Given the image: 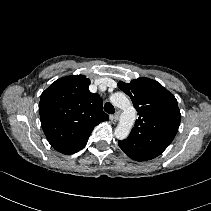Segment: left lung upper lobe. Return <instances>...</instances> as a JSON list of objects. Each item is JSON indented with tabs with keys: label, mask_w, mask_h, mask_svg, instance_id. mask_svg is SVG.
<instances>
[{
	"label": "left lung upper lobe",
	"mask_w": 211,
	"mask_h": 211,
	"mask_svg": "<svg viewBox=\"0 0 211 211\" xmlns=\"http://www.w3.org/2000/svg\"><path fill=\"white\" fill-rule=\"evenodd\" d=\"M118 87L131 98L139 115L128 138L118 142L119 147L136 161L157 157L172 142L180 125L176 98L149 78L120 81Z\"/></svg>",
	"instance_id": "obj_1"
}]
</instances>
